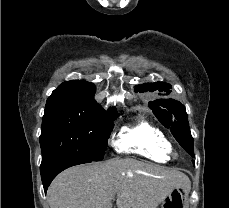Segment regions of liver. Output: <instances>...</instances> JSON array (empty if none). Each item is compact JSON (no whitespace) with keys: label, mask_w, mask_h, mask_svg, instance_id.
Here are the masks:
<instances>
[{"label":"liver","mask_w":229,"mask_h":208,"mask_svg":"<svg viewBox=\"0 0 229 208\" xmlns=\"http://www.w3.org/2000/svg\"><path fill=\"white\" fill-rule=\"evenodd\" d=\"M175 186L191 188L178 168H163L132 158L82 164L61 172L48 188L50 208H157Z\"/></svg>","instance_id":"liver-1"}]
</instances>
